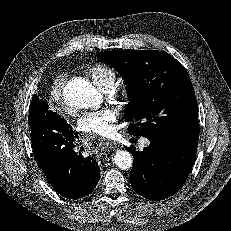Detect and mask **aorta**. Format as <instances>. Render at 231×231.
Returning a JSON list of instances; mask_svg holds the SVG:
<instances>
[{
  "mask_svg": "<svg viewBox=\"0 0 231 231\" xmlns=\"http://www.w3.org/2000/svg\"><path fill=\"white\" fill-rule=\"evenodd\" d=\"M64 101L74 108H94L102 101L101 94L87 80L72 79L66 83L63 90ZM115 165L122 170H128L133 165V157L126 150H119L114 155Z\"/></svg>",
  "mask_w": 231,
  "mask_h": 231,
  "instance_id": "762f6f07",
  "label": "aorta"
}]
</instances>
